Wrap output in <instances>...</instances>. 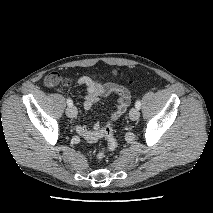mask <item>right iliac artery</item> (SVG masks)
<instances>
[{"label":"right iliac artery","mask_w":213,"mask_h":213,"mask_svg":"<svg viewBox=\"0 0 213 213\" xmlns=\"http://www.w3.org/2000/svg\"><path fill=\"white\" fill-rule=\"evenodd\" d=\"M67 104L68 106H73V102L70 98L67 99Z\"/></svg>","instance_id":"right-iliac-artery-1"}]
</instances>
